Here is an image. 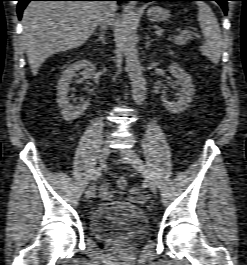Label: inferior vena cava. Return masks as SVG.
Masks as SVG:
<instances>
[{"label": "inferior vena cava", "mask_w": 247, "mask_h": 265, "mask_svg": "<svg viewBox=\"0 0 247 265\" xmlns=\"http://www.w3.org/2000/svg\"><path fill=\"white\" fill-rule=\"evenodd\" d=\"M103 11L99 17V24L101 29L105 30L106 27L111 23L114 11L116 9V3L112 1L103 2Z\"/></svg>", "instance_id": "inferior-vena-cava-1"}]
</instances>
